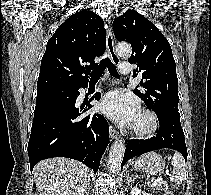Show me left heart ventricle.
<instances>
[{
	"label": "left heart ventricle",
	"mask_w": 211,
	"mask_h": 195,
	"mask_svg": "<svg viewBox=\"0 0 211 195\" xmlns=\"http://www.w3.org/2000/svg\"><path fill=\"white\" fill-rule=\"evenodd\" d=\"M136 126L138 127H145L148 124V120L147 118L143 117V116H138L136 117V119L133 122Z\"/></svg>",
	"instance_id": "left-heart-ventricle-1"
}]
</instances>
